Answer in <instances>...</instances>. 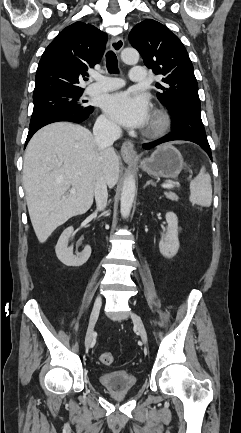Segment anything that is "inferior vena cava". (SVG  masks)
<instances>
[{
    "label": "inferior vena cava",
    "instance_id": "602c4592",
    "mask_svg": "<svg viewBox=\"0 0 241 433\" xmlns=\"http://www.w3.org/2000/svg\"><path fill=\"white\" fill-rule=\"evenodd\" d=\"M121 128L107 120L97 121L93 127L94 142L98 149H105L113 145L120 138ZM95 201L97 210L102 211L107 205V184L101 173H98L95 181Z\"/></svg>",
    "mask_w": 241,
    "mask_h": 433
}]
</instances>
